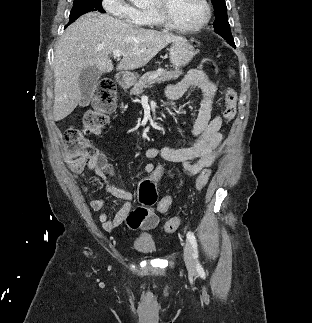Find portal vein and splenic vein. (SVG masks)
<instances>
[{
  "label": "portal vein and splenic vein",
  "mask_w": 312,
  "mask_h": 323,
  "mask_svg": "<svg viewBox=\"0 0 312 323\" xmlns=\"http://www.w3.org/2000/svg\"><path fill=\"white\" fill-rule=\"evenodd\" d=\"M114 58H120V56H124V54H122V52H120V50H113L112 52ZM129 56H132V54H129Z\"/></svg>",
  "instance_id": "portal-vein-and-splenic-vein-1"
}]
</instances>
